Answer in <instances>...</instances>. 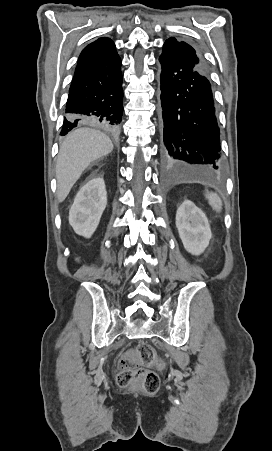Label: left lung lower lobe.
<instances>
[{
	"mask_svg": "<svg viewBox=\"0 0 272 451\" xmlns=\"http://www.w3.org/2000/svg\"><path fill=\"white\" fill-rule=\"evenodd\" d=\"M161 63L159 136L167 167L214 171L223 167L210 79L196 50L165 41Z\"/></svg>",
	"mask_w": 272,
	"mask_h": 451,
	"instance_id": "obj_1",
	"label": "left lung lower lobe"
}]
</instances>
